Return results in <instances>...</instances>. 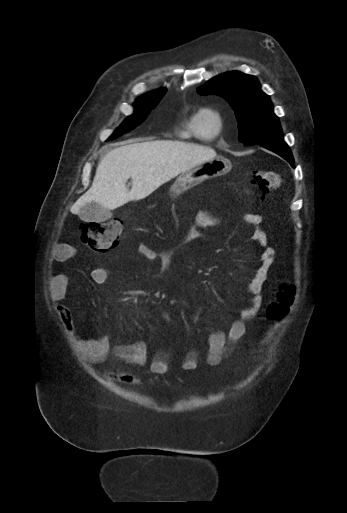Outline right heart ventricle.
<instances>
[{"mask_svg": "<svg viewBox=\"0 0 347 513\" xmlns=\"http://www.w3.org/2000/svg\"><path fill=\"white\" fill-rule=\"evenodd\" d=\"M198 111L193 112L186 120L183 131L180 133L182 138H197L200 140H209L203 136L196 127V118Z\"/></svg>", "mask_w": 347, "mask_h": 513, "instance_id": "e07e8e85", "label": "right heart ventricle"}]
</instances>
